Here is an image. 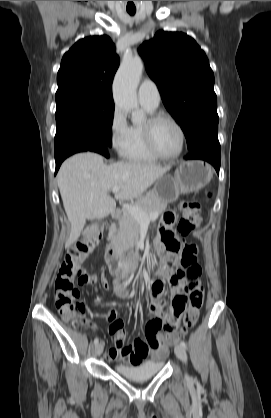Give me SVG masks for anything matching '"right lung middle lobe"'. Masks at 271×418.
Masks as SVG:
<instances>
[{"mask_svg": "<svg viewBox=\"0 0 271 418\" xmlns=\"http://www.w3.org/2000/svg\"><path fill=\"white\" fill-rule=\"evenodd\" d=\"M56 104L55 150L92 139H103L112 145L114 103L74 99Z\"/></svg>", "mask_w": 271, "mask_h": 418, "instance_id": "1", "label": "right lung middle lobe"}]
</instances>
